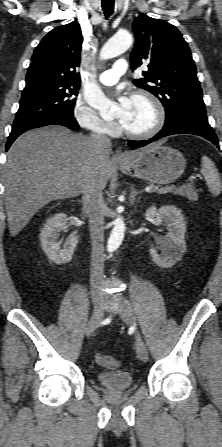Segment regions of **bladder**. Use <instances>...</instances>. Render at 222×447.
I'll use <instances>...</instances> for the list:
<instances>
[{
    "mask_svg": "<svg viewBox=\"0 0 222 447\" xmlns=\"http://www.w3.org/2000/svg\"><path fill=\"white\" fill-rule=\"evenodd\" d=\"M100 384L109 391H122L131 387L133 375L126 370L101 372L97 375Z\"/></svg>",
    "mask_w": 222,
    "mask_h": 447,
    "instance_id": "bladder-1",
    "label": "bladder"
}]
</instances>
